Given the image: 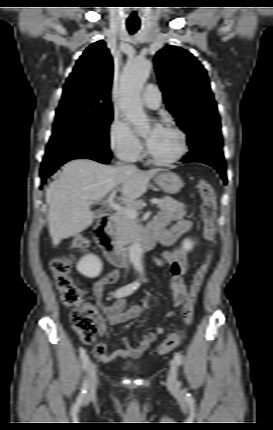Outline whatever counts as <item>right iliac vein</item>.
I'll return each mask as SVG.
<instances>
[{
    "instance_id": "1",
    "label": "right iliac vein",
    "mask_w": 273,
    "mask_h": 430,
    "mask_svg": "<svg viewBox=\"0 0 273 430\" xmlns=\"http://www.w3.org/2000/svg\"><path fill=\"white\" fill-rule=\"evenodd\" d=\"M97 387V374L94 364L89 360L87 366V392L86 397L91 398L95 395Z\"/></svg>"
}]
</instances>
